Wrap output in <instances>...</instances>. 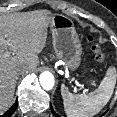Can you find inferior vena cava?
<instances>
[{
    "instance_id": "602c4592",
    "label": "inferior vena cava",
    "mask_w": 117,
    "mask_h": 117,
    "mask_svg": "<svg viewBox=\"0 0 117 117\" xmlns=\"http://www.w3.org/2000/svg\"><path fill=\"white\" fill-rule=\"evenodd\" d=\"M25 71H26V68H19V69H18V73H19V74H21V73H23V72H25Z\"/></svg>"
}]
</instances>
